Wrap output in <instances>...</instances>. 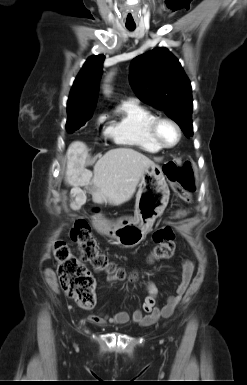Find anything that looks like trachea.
<instances>
[{
	"mask_svg": "<svg viewBox=\"0 0 247 385\" xmlns=\"http://www.w3.org/2000/svg\"><path fill=\"white\" fill-rule=\"evenodd\" d=\"M126 28L130 31L134 30L135 29V25H132V26H126Z\"/></svg>",
	"mask_w": 247,
	"mask_h": 385,
	"instance_id": "3493384b",
	"label": "trachea"
}]
</instances>
